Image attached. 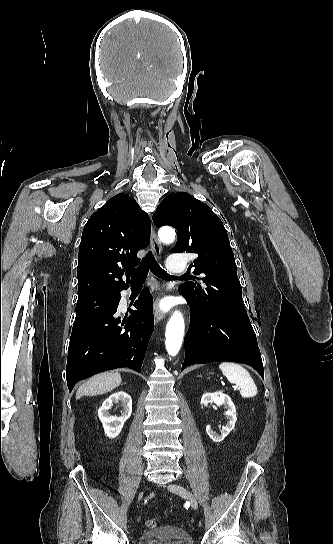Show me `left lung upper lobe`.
<instances>
[{
    "instance_id": "5c2ea615",
    "label": "left lung upper lobe",
    "mask_w": 333,
    "mask_h": 544,
    "mask_svg": "<svg viewBox=\"0 0 333 544\" xmlns=\"http://www.w3.org/2000/svg\"><path fill=\"white\" fill-rule=\"evenodd\" d=\"M157 227L171 225L178 232L173 252L195 253L193 280L179 290L192 301L221 317L241 322L252 328L243 305L237 266L225 227L208 205L188 193L167 196L153 215Z\"/></svg>"
}]
</instances>
